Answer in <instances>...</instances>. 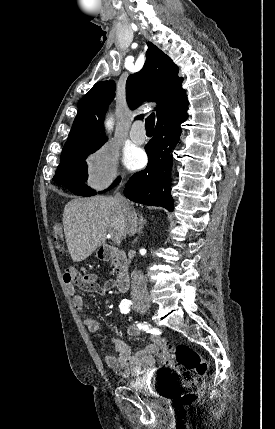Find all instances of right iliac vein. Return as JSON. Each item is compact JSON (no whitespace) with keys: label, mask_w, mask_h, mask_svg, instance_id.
Listing matches in <instances>:
<instances>
[{"label":"right iliac vein","mask_w":275,"mask_h":429,"mask_svg":"<svg viewBox=\"0 0 275 429\" xmlns=\"http://www.w3.org/2000/svg\"><path fill=\"white\" fill-rule=\"evenodd\" d=\"M150 305L149 304H142L138 306V310L142 313H145L149 310Z\"/></svg>","instance_id":"right-iliac-vein-1"}]
</instances>
